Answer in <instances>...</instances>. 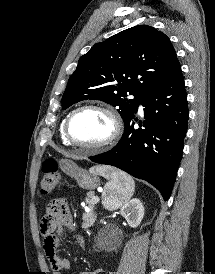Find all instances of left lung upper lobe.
Instances as JSON below:
<instances>
[{
    "mask_svg": "<svg viewBox=\"0 0 215 274\" xmlns=\"http://www.w3.org/2000/svg\"><path fill=\"white\" fill-rule=\"evenodd\" d=\"M181 68L169 38L148 25L126 29L96 43L79 61L62 97V107L86 99L118 106L123 121L144 95ZM134 95L127 99V95Z\"/></svg>",
    "mask_w": 215,
    "mask_h": 274,
    "instance_id": "left-lung-upper-lobe-1",
    "label": "left lung upper lobe"
}]
</instances>
